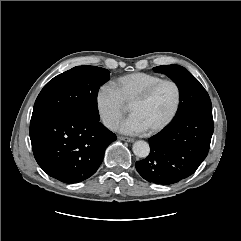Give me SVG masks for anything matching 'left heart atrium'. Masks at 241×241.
<instances>
[{
  "mask_svg": "<svg viewBox=\"0 0 241 241\" xmlns=\"http://www.w3.org/2000/svg\"><path fill=\"white\" fill-rule=\"evenodd\" d=\"M118 130L125 134H141L148 130L144 122L135 114H131L119 126Z\"/></svg>",
  "mask_w": 241,
  "mask_h": 241,
  "instance_id": "39dd6f15",
  "label": "left heart atrium"
}]
</instances>
